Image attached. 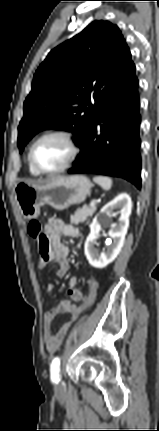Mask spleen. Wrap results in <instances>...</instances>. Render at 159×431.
Instances as JSON below:
<instances>
[{"label": "spleen", "instance_id": "obj_1", "mask_svg": "<svg viewBox=\"0 0 159 431\" xmlns=\"http://www.w3.org/2000/svg\"><path fill=\"white\" fill-rule=\"evenodd\" d=\"M93 181L100 185L104 190H110L112 187V179L106 176H95Z\"/></svg>", "mask_w": 159, "mask_h": 431}]
</instances>
